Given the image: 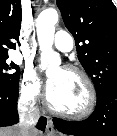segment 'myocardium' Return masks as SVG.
Masks as SVG:
<instances>
[{
	"label": "myocardium",
	"mask_w": 117,
	"mask_h": 136,
	"mask_svg": "<svg viewBox=\"0 0 117 136\" xmlns=\"http://www.w3.org/2000/svg\"><path fill=\"white\" fill-rule=\"evenodd\" d=\"M65 70L79 76L82 79V81L86 87L87 93H88L87 105L85 106L84 109H82L81 111H78V112L63 111V110L57 109L51 105L50 100H49V92H47L46 93L47 108L52 113L59 115L61 117L67 118V119H71V120L85 119V118L89 117L95 111V108L97 105V91H96L95 85H94L92 79L90 78V76L83 69H81L77 66L70 65V66H66Z\"/></svg>",
	"instance_id": "f54148a6"
}]
</instances>
